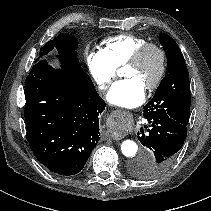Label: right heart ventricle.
<instances>
[{
	"label": "right heart ventricle",
	"instance_id": "e07e8e85",
	"mask_svg": "<svg viewBox=\"0 0 211 211\" xmlns=\"http://www.w3.org/2000/svg\"><path fill=\"white\" fill-rule=\"evenodd\" d=\"M147 40L133 34H120L109 37L102 42V51L108 56L112 63L123 66L132 54Z\"/></svg>",
	"mask_w": 211,
	"mask_h": 211
}]
</instances>
